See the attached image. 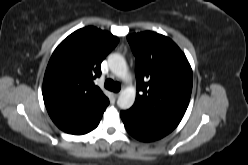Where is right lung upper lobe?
<instances>
[{
	"label": "right lung upper lobe",
	"instance_id": "obj_1",
	"mask_svg": "<svg viewBox=\"0 0 248 165\" xmlns=\"http://www.w3.org/2000/svg\"><path fill=\"white\" fill-rule=\"evenodd\" d=\"M118 42L110 32L90 26L73 32L55 49L42 93L51 119L64 132L77 134L102 117L109 99L94 80Z\"/></svg>",
	"mask_w": 248,
	"mask_h": 165
}]
</instances>
